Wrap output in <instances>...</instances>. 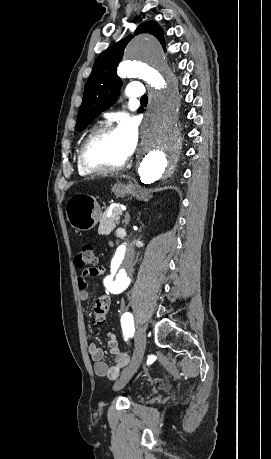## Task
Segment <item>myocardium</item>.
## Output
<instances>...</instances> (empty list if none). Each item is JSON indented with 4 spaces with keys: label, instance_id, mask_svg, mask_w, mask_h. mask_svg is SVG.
Listing matches in <instances>:
<instances>
[{
    "label": "myocardium",
    "instance_id": "1",
    "mask_svg": "<svg viewBox=\"0 0 271 459\" xmlns=\"http://www.w3.org/2000/svg\"><path fill=\"white\" fill-rule=\"evenodd\" d=\"M118 130L115 123H108L103 125L91 134H89L83 141L80 147L79 157L83 167L90 172H107L121 169L130 159L131 153L124 158L117 161L110 160H95L91 156V147L98 139L108 136Z\"/></svg>",
    "mask_w": 271,
    "mask_h": 459
}]
</instances>
